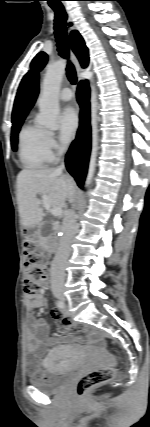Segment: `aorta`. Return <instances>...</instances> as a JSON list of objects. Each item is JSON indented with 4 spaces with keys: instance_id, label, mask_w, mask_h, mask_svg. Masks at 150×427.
<instances>
[{
    "instance_id": "aorta-1",
    "label": "aorta",
    "mask_w": 150,
    "mask_h": 427,
    "mask_svg": "<svg viewBox=\"0 0 150 427\" xmlns=\"http://www.w3.org/2000/svg\"><path fill=\"white\" fill-rule=\"evenodd\" d=\"M66 69V61L61 59L50 65L45 73L42 83V93L39 99L40 114L38 116L39 124L48 129L55 130L58 127L57 118L60 112L59 91L63 75ZM91 127H92V150L89 162L86 186H89L96 167V158L98 152V101L95 86L91 85Z\"/></svg>"
}]
</instances>
